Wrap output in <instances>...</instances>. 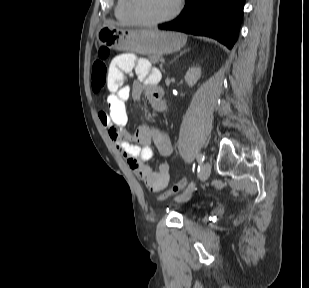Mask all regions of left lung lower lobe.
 Here are the masks:
<instances>
[{"label": "left lung lower lobe", "instance_id": "0a47b994", "mask_svg": "<svg viewBox=\"0 0 309 288\" xmlns=\"http://www.w3.org/2000/svg\"><path fill=\"white\" fill-rule=\"evenodd\" d=\"M245 0H185V9L159 29L208 36L232 48L238 38Z\"/></svg>", "mask_w": 309, "mask_h": 288}]
</instances>
